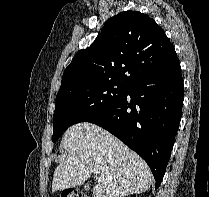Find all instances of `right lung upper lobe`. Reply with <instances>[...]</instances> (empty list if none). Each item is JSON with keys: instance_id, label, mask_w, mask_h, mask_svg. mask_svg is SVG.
<instances>
[{"instance_id": "1", "label": "right lung upper lobe", "mask_w": 209, "mask_h": 197, "mask_svg": "<svg viewBox=\"0 0 209 197\" xmlns=\"http://www.w3.org/2000/svg\"><path fill=\"white\" fill-rule=\"evenodd\" d=\"M175 56L174 46L152 18L125 11L110 18L90 47L74 56L64 71L60 89L106 80L131 85Z\"/></svg>"}]
</instances>
